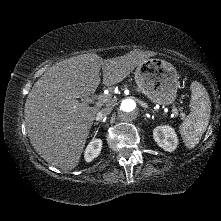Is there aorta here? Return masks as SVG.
I'll use <instances>...</instances> for the list:
<instances>
[{
  "instance_id": "1",
  "label": "aorta",
  "mask_w": 221,
  "mask_h": 221,
  "mask_svg": "<svg viewBox=\"0 0 221 221\" xmlns=\"http://www.w3.org/2000/svg\"><path fill=\"white\" fill-rule=\"evenodd\" d=\"M138 112V105L135 100L131 98L123 99L118 106V117L125 122L134 120Z\"/></svg>"
}]
</instances>
